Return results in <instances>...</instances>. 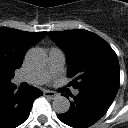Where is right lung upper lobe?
Here are the masks:
<instances>
[{
    "label": "right lung upper lobe",
    "instance_id": "1",
    "mask_svg": "<svg viewBox=\"0 0 128 128\" xmlns=\"http://www.w3.org/2000/svg\"><path fill=\"white\" fill-rule=\"evenodd\" d=\"M46 33L0 28V88L11 83L14 71L22 65L25 52L44 38Z\"/></svg>",
    "mask_w": 128,
    "mask_h": 128
}]
</instances>
